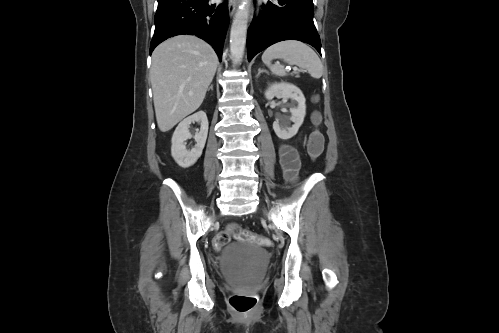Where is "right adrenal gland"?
<instances>
[{"label": "right adrenal gland", "mask_w": 499, "mask_h": 333, "mask_svg": "<svg viewBox=\"0 0 499 333\" xmlns=\"http://www.w3.org/2000/svg\"><path fill=\"white\" fill-rule=\"evenodd\" d=\"M209 90H213V85L211 84L210 87L208 88V91Z\"/></svg>", "instance_id": "right-adrenal-gland-1"}]
</instances>
